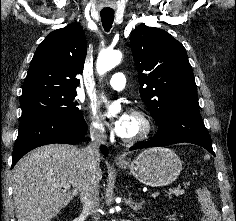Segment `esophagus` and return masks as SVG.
Masks as SVG:
<instances>
[{"label":"esophagus","instance_id":"esophagus-1","mask_svg":"<svg viewBox=\"0 0 236 221\" xmlns=\"http://www.w3.org/2000/svg\"><path fill=\"white\" fill-rule=\"evenodd\" d=\"M114 161H115L116 163H120V162H123L124 159H123V157H121V156H115Z\"/></svg>","mask_w":236,"mask_h":221}]
</instances>
